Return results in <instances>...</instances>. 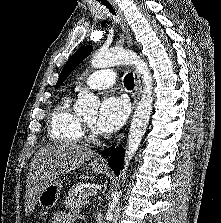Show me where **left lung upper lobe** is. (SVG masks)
Masks as SVG:
<instances>
[{"instance_id": "1", "label": "left lung upper lobe", "mask_w": 221, "mask_h": 223, "mask_svg": "<svg viewBox=\"0 0 221 223\" xmlns=\"http://www.w3.org/2000/svg\"><path fill=\"white\" fill-rule=\"evenodd\" d=\"M92 49L93 47L90 45L81 47L70 57L61 71L55 88H58L64 82L68 75L91 53Z\"/></svg>"}]
</instances>
